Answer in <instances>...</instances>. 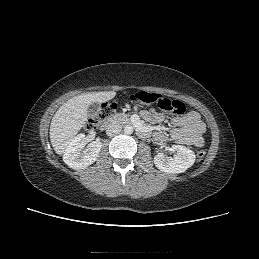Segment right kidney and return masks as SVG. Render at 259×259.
Here are the masks:
<instances>
[{"label": "right kidney", "instance_id": "ca27d5eb", "mask_svg": "<svg viewBox=\"0 0 259 259\" xmlns=\"http://www.w3.org/2000/svg\"><path fill=\"white\" fill-rule=\"evenodd\" d=\"M86 144V137L83 133L74 137L66 147L63 161L72 169L79 170L93 164L101 150V142L93 141L88 145V149L82 153Z\"/></svg>", "mask_w": 259, "mask_h": 259}]
</instances>
